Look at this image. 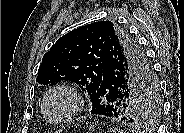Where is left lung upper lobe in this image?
<instances>
[{
    "label": "left lung upper lobe",
    "mask_w": 184,
    "mask_h": 133,
    "mask_svg": "<svg viewBox=\"0 0 184 133\" xmlns=\"http://www.w3.org/2000/svg\"><path fill=\"white\" fill-rule=\"evenodd\" d=\"M113 57L124 68L129 89L118 118L136 125L148 124L160 111L158 84L144 52L114 22L87 24L59 38L44 54L37 82L51 86L74 82L92 101L104 78V64ZM143 80L151 84L152 95L142 90Z\"/></svg>",
    "instance_id": "obj_1"
}]
</instances>
